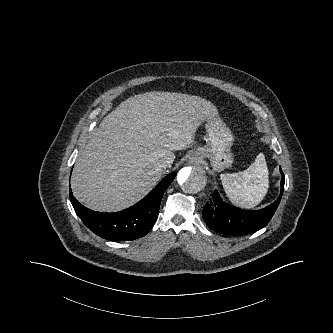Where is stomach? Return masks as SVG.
I'll use <instances>...</instances> for the list:
<instances>
[{"label":"stomach","instance_id":"1","mask_svg":"<svg viewBox=\"0 0 333 333\" xmlns=\"http://www.w3.org/2000/svg\"><path fill=\"white\" fill-rule=\"evenodd\" d=\"M206 129L207 145L199 148L198 151L203 157L210 159L214 170L220 171L230 167L233 163L230 147L234 141L231 131L219 117L207 121Z\"/></svg>","mask_w":333,"mask_h":333}]
</instances>
